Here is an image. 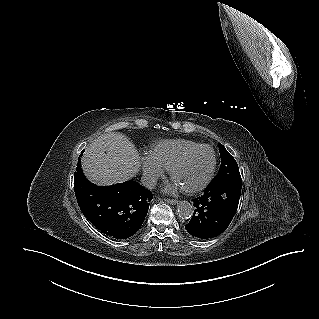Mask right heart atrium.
I'll return each instance as SVG.
<instances>
[{
    "instance_id": "1",
    "label": "right heart atrium",
    "mask_w": 319,
    "mask_h": 319,
    "mask_svg": "<svg viewBox=\"0 0 319 319\" xmlns=\"http://www.w3.org/2000/svg\"><path fill=\"white\" fill-rule=\"evenodd\" d=\"M141 167L145 182L148 186L154 185L165 173V170L159 166L149 154L142 156Z\"/></svg>"
}]
</instances>
